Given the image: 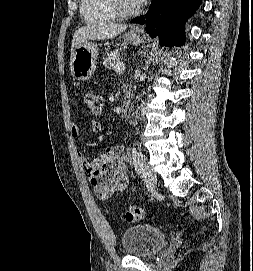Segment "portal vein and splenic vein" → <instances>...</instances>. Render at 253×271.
<instances>
[{"label": "portal vein and splenic vein", "instance_id": "obj_1", "mask_svg": "<svg viewBox=\"0 0 253 271\" xmlns=\"http://www.w3.org/2000/svg\"><path fill=\"white\" fill-rule=\"evenodd\" d=\"M125 69H126V67H125V64H123V63L117 64L115 67L116 71H123Z\"/></svg>", "mask_w": 253, "mask_h": 271}]
</instances>
